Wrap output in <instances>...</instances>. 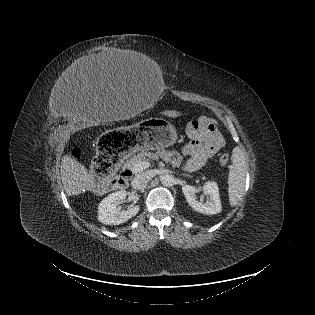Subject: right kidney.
<instances>
[{"instance_id":"ca27d5eb","label":"right kidney","mask_w":315,"mask_h":315,"mask_svg":"<svg viewBox=\"0 0 315 315\" xmlns=\"http://www.w3.org/2000/svg\"><path fill=\"white\" fill-rule=\"evenodd\" d=\"M126 196V190H120L105 197L98 206V220L106 225H119L134 217L139 211L138 205L125 211L120 210L115 204L117 201L125 200Z\"/></svg>"}]
</instances>
